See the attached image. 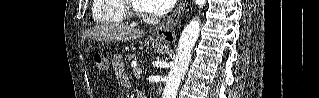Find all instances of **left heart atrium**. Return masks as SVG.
Segmentation results:
<instances>
[{
    "mask_svg": "<svg viewBox=\"0 0 319 98\" xmlns=\"http://www.w3.org/2000/svg\"><path fill=\"white\" fill-rule=\"evenodd\" d=\"M174 0H142L141 4L145 10L154 15H163L174 6Z\"/></svg>",
    "mask_w": 319,
    "mask_h": 98,
    "instance_id": "obj_1",
    "label": "left heart atrium"
}]
</instances>
